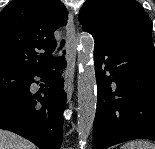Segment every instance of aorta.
I'll list each match as a JSON object with an SVG mask.
<instances>
[{"label": "aorta", "instance_id": "obj_1", "mask_svg": "<svg viewBox=\"0 0 155 149\" xmlns=\"http://www.w3.org/2000/svg\"><path fill=\"white\" fill-rule=\"evenodd\" d=\"M94 39L90 34H82L78 42L79 76L77 131L82 143H85L93 127L96 107L97 88L93 63Z\"/></svg>", "mask_w": 155, "mask_h": 149}]
</instances>
